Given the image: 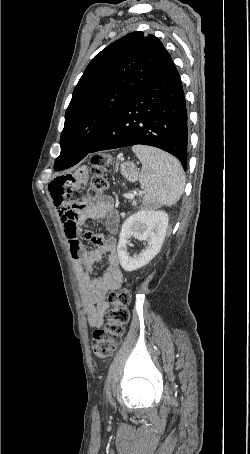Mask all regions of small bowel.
Here are the masks:
<instances>
[{
  "instance_id": "small-bowel-1",
  "label": "small bowel",
  "mask_w": 250,
  "mask_h": 454,
  "mask_svg": "<svg viewBox=\"0 0 250 454\" xmlns=\"http://www.w3.org/2000/svg\"><path fill=\"white\" fill-rule=\"evenodd\" d=\"M86 182V176L79 173L75 177H58L49 184V192L63 224L65 236L69 242L70 254L77 280L82 289L85 313L92 328H99L104 323L109 308L106 294L119 288L123 274L120 268L115 232L119 216L113 199L103 196L90 200L76 198L73 191ZM104 221L110 236L86 233L85 237L96 244L92 250L85 249L80 240L81 226L87 220ZM107 256L108 267L100 277H92V267L103 256Z\"/></svg>"
}]
</instances>
